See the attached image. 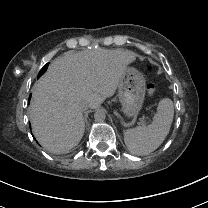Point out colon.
Returning a JSON list of instances; mask_svg holds the SVG:
<instances>
[{
  "label": "colon",
  "mask_w": 208,
  "mask_h": 208,
  "mask_svg": "<svg viewBox=\"0 0 208 208\" xmlns=\"http://www.w3.org/2000/svg\"><path fill=\"white\" fill-rule=\"evenodd\" d=\"M147 68H148V70H152L153 69V65L149 63V64H147ZM147 90H148L150 95H153L154 92H155V85L153 83H149L147 85Z\"/></svg>",
  "instance_id": "1"
}]
</instances>
